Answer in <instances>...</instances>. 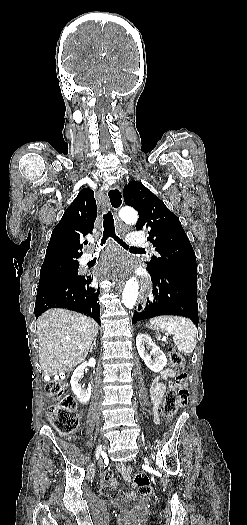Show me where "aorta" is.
Segmentation results:
<instances>
[{"mask_svg": "<svg viewBox=\"0 0 247 525\" xmlns=\"http://www.w3.org/2000/svg\"><path fill=\"white\" fill-rule=\"evenodd\" d=\"M120 218L127 224H135L138 220L137 212L130 207H124L119 211ZM139 284L135 278H130L124 287L122 294L123 304L131 309L138 297Z\"/></svg>", "mask_w": 247, "mask_h": 525, "instance_id": "aorta-1", "label": "aorta"}]
</instances>
